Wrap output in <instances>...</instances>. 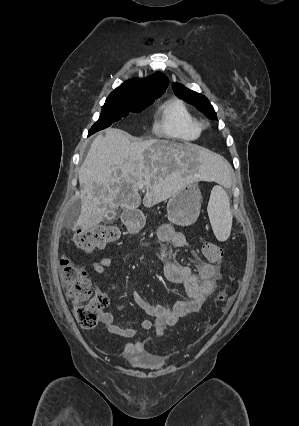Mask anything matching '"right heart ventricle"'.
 <instances>
[{
	"instance_id": "e07e8e85",
	"label": "right heart ventricle",
	"mask_w": 299,
	"mask_h": 426,
	"mask_svg": "<svg viewBox=\"0 0 299 426\" xmlns=\"http://www.w3.org/2000/svg\"><path fill=\"white\" fill-rule=\"evenodd\" d=\"M156 131L169 138L192 141L201 134V126L188 106L179 99L168 100L158 111Z\"/></svg>"
}]
</instances>
